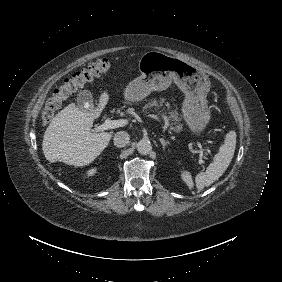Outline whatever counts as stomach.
Here are the masks:
<instances>
[{
	"label": "stomach",
	"mask_w": 282,
	"mask_h": 282,
	"mask_svg": "<svg viewBox=\"0 0 282 282\" xmlns=\"http://www.w3.org/2000/svg\"><path fill=\"white\" fill-rule=\"evenodd\" d=\"M141 75L124 90L127 102L143 100L152 91L166 90L174 82L185 94L182 103L184 120L193 133H200L210 120L206 96L210 80L197 67L159 51H148L139 60Z\"/></svg>",
	"instance_id": "obj_1"
}]
</instances>
